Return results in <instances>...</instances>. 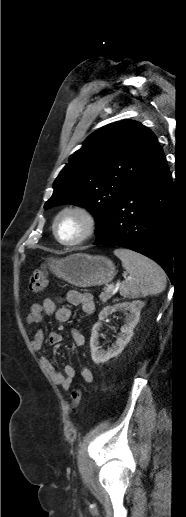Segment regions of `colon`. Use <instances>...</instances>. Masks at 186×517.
Wrapping results in <instances>:
<instances>
[{"label": "colon", "instance_id": "5ec220e1", "mask_svg": "<svg viewBox=\"0 0 186 517\" xmlns=\"http://www.w3.org/2000/svg\"><path fill=\"white\" fill-rule=\"evenodd\" d=\"M47 277L48 273L45 268H38L33 270V272L30 275L29 279V288L33 292H40L42 291L46 284H47ZM82 398V392L79 388H74L71 391V405L74 410L77 409V407L80 404Z\"/></svg>", "mask_w": 186, "mask_h": 517}]
</instances>
